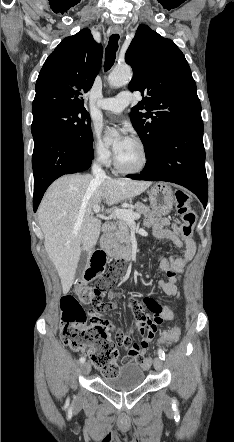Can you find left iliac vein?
I'll use <instances>...</instances> for the list:
<instances>
[{
    "mask_svg": "<svg viewBox=\"0 0 234 442\" xmlns=\"http://www.w3.org/2000/svg\"><path fill=\"white\" fill-rule=\"evenodd\" d=\"M154 368L160 372L163 368V362L159 357H155L153 361Z\"/></svg>",
    "mask_w": 234,
    "mask_h": 442,
    "instance_id": "left-iliac-vein-1",
    "label": "left iliac vein"
}]
</instances>
